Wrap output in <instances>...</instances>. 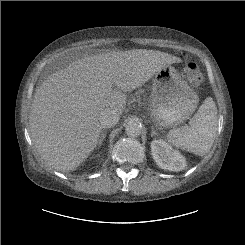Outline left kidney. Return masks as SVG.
Masks as SVG:
<instances>
[{
    "label": "left kidney",
    "mask_w": 245,
    "mask_h": 245,
    "mask_svg": "<svg viewBox=\"0 0 245 245\" xmlns=\"http://www.w3.org/2000/svg\"><path fill=\"white\" fill-rule=\"evenodd\" d=\"M151 154L157 165L169 171H181L186 166V159L164 140L157 139L151 142Z\"/></svg>",
    "instance_id": "left-kidney-1"
}]
</instances>
